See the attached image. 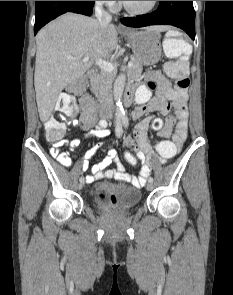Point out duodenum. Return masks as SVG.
<instances>
[{
    "label": "duodenum",
    "instance_id": "obj_1",
    "mask_svg": "<svg viewBox=\"0 0 233 295\" xmlns=\"http://www.w3.org/2000/svg\"><path fill=\"white\" fill-rule=\"evenodd\" d=\"M97 75V71L95 69H92L88 72V77L90 79H94ZM133 89L131 87H128L126 90V96L128 99H131L133 97ZM100 115L103 118H108L110 116V110L108 106V102L106 99H102L100 103Z\"/></svg>",
    "mask_w": 233,
    "mask_h": 295
}]
</instances>
